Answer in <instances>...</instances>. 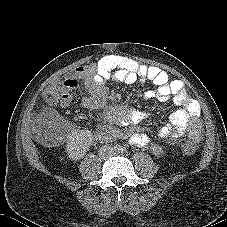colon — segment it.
<instances>
[{
  "mask_svg": "<svg viewBox=\"0 0 227 227\" xmlns=\"http://www.w3.org/2000/svg\"><path fill=\"white\" fill-rule=\"evenodd\" d=\"M42 100L50 106H54L62 101L61 82L51 83L42 93ZM68 133V125L58 118H50L38 127L37 138L43 146H56L61 144ZM196 151L195 144L187 142L181 147L180 152L184 156L192 155Z\"/></svg>",
  "mask_w": 227,
  "mask_h": 227,
  "instance_id": "1",
  "label": "colon"
}]
</instances>
